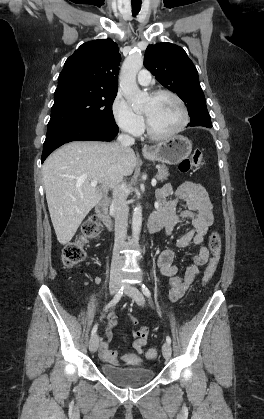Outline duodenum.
Here are the masks:
<instances>
[{
    "label": "duodenum",
    "instance_id": "1",
    "mask_svg": "<svg viewBox=\"0 0 264 419\" xmlns=\"http://www.w3.org/2000/svg\"><path fill=\"white\" fill-rule=\"evenodd\" d=\"M110 200L104 199L102 200L96 208L98 216L104 222L109 230L113 228V220L110 214ZM164 226V220L162 217L157 215L156 213L152 215L147 221V229L149 232H156Z\"/></svg>",
    "mask_w": 264,
    "mask_h": 419
}]
</instances>
